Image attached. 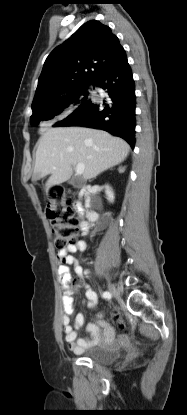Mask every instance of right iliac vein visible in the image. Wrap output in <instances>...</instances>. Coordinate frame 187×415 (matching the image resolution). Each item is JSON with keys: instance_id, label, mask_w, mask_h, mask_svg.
<instances>
[{"instance_id": "1", "label": "right iliac vein", "mask_w": 187, "mask_h": 415, "mask_svg": "<svg viewBox=\"0 0 187 415\" xmlns=\"http://www.w3.org/2000/svg\"><path fill=\"white\" fill-rule=\"evenodd\" d=\"M107 288L111 295L116 296L118 294L116 287L111 282L107 283Z\"/></svg>"}]
</instances>
